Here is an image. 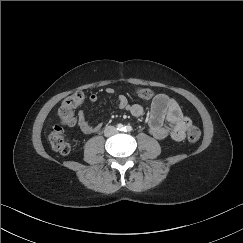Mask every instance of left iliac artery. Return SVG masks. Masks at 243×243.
Returning <instances> with one entry per match:
<instances>
[{
    "label": "left iliac artery",
    "instance_id": "1",
    "mask_svg": "<svg viewBox=\"0 0 243 243\" xmlns=\"http://www.w3.org/2000/svg\"><path fill=\"white\" fill-rule=\"evenodd\" d=\"M132 130H133V128L131 126H129V125L124 127V131L125 132H131Z\"/></svg>",
    "mask_w": 243,
    "mask_h": 243
}]
</instances>
